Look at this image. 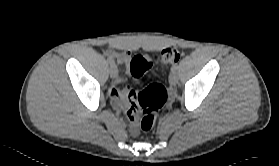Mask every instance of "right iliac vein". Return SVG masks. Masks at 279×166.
Masks as SVG:
<instances>
[{"label":"right iliac vein","mask_w":279,"mask_h":166,"mask_svg":"<svg viewBox=\"0 0 279 166\" xmlns=\"http://www.w3.org/2000/svg\"><path fill=\"white\" fill-rule=\"evenodd\" d=\"M109 73H110V77H111V78H116V77H117V75H118V70H117V68H116L115 65H113V66L110 67Z\"/></svg>","instance_id":"1"}]
</instances>
